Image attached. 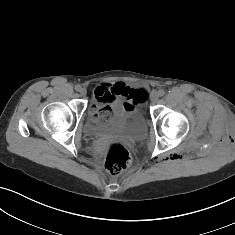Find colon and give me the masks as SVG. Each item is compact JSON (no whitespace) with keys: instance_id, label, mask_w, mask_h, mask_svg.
<instances>
[{"instance_id":"obj_1","label":"colon","mask_w":235,"mask_h":235,"mask_svg":"<svg viewBox=\"0 0 235 235\" xmlns=\"http://www.w3.org/2000/svg\"><path fill=\"white\" fill-rule=\"evenodd\" d=\"M145 94L144 89L135 91L130 98L131 106L128 104L125 109H132L135 107V105L145 97ZM97 115L99 118L107 120L111 117L112 111L105 107L100 109ZM105 164L112 175H118L125 171L130 165V154L126 147L122 143L116 141L108 143L106 147Z\"/></svg>"}]
</instances>
